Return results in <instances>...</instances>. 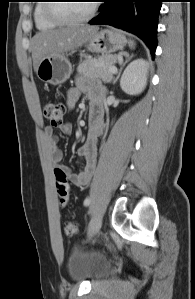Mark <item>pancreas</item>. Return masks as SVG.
<instances>
[{
	"mask_svg": "<svg viewBox=\"0 0 195 299\" xmlns=\"http://www.w3.org/2000/svg\"><path fill=\"white\" fill-rule=\"evenodd\" d=\"M117 62L116 55H103L99 58L85 59L77 67V72L88 78L101 79L105 83L111 82L113 73L109 71Z\"/></svg>",
	"mask_w": 195,
	"mask_h": 299,
	"instance_id": "1",
	"label": "pancreas"
}]
</instances>
